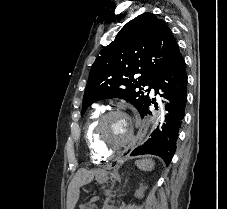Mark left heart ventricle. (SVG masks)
I'll return each instance as SVG.
<instances>
[{
  "instance_id": "b2bd125f",
  "label": "left heart ventricle",
  "mask_w": 227,
  "mask_h": 209,
  "mask_svg": "<svg viewBox=\"0 0 227 209\" xmlns=\"http://www.w3.org/2000/svg\"><path fill=\"white\" fill-rule=\"evenodd\" d=\"M131 127L128 119L124 116H113L107 120L103 127V140L109 145L114 146L128 139Z\"/></svg>"
}]
</instances>
